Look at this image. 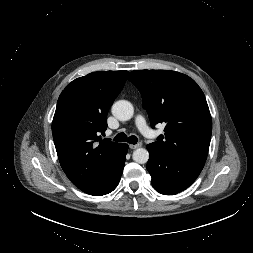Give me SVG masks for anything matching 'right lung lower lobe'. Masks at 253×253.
<instances>
[{"label":"right lung lower lobe","instance_id":"1","mask_svg":"<svg viewBox=\"0 0 253 253\" xmlns=\"http://www.w3.org/2000/svg\"><path fill=\"white\" fill-rule=\"evenodd\" d=\"M127 150L128 145L122 144L103 175L91 187L83 190V192L94 196H101L112 192L120 181Z\"/></svg>","mask_w":253,"mask_h":253}]
</instances>
